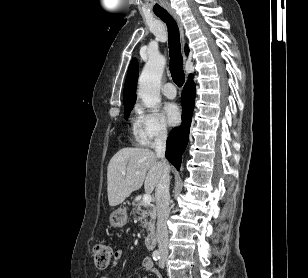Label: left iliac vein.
I'll return each instance as SVG.
<instances>
[{"instance_id": "left-iliac-vein-1", "label": "left iliac vein", "mask_w": 308, "mask_h": 278, "mask_svg": "<svg viewBox=\"0 0 308 278\" xmlns=\"http://www.w3.org/2000/svg\"><path fill=\"white\" fill-rule=\"evenodd\" d=\"M166 257H167L166 254H162L161 255V258H160V260L158 262L160 268H164L165 267Z\"/></svg>"}]
</instances>
